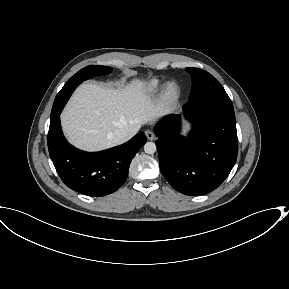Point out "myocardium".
<instances>
[{
    "label": "myocardium",
    "mask_w": 289,
    "mask_h": 289,
    "mask_svg": "<svg viewBox=\"0 0 289 289\" xmlns=\"http://www.w3.org/2000/svg\"><path fill=\"white\" fill-rule=\"evenodd\" d=\"M179 93V86L176 82L169 81L167 82L162 90V94L165 98H174Z\"/></svg>",
    "instance_id": "obj_1"
}]
</instances>
